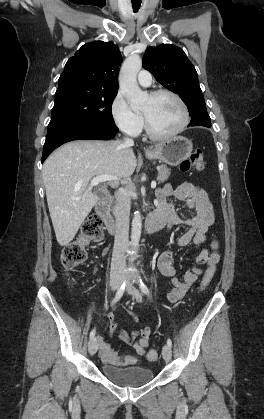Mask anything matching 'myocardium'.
Here are the masks:
<instances>
[{
	"instance_id": "f54148a6",
	"label": "myocardium",
	"mask_w": 264,
	"mask_h": 419,
	"mask_svg": "<svg viewBox=\"0 0 264 419\" xmlns=\"http://www.w3.org/2000/svg\"><path fill=\"white\" fill-rule=\"evenodd\" d=\"M162 95L171 96L172 98H174L176 100V102L179 104V106L181 108V111H182V121H181L180 125L174 131H172L170 133H167V134H159V133H157L153 130L147 116L143 114V118H144V122H145V129H146L147 135L151 139L157 140V141H166V140H170V139L176 137L177 135H179L185 129V127L189 123V111H188V108H187L185 102L183 101V99L177 93H175L171 90H168V89H158V90H155V91L150 93L151 98H157V97L162 96Z\"/></svg>"
}]
</instances>
